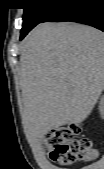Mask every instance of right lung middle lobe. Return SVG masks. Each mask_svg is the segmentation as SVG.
I'll return each instance as SVG.
<instances>
[{"instance_id": "dd1d6c3e", "label": "right lung middle lobe", "mask_w": 104, "mask_h": 169, "mask_svg": "<svg viewBox=\"0 0 104 169\" xmlns=\"http://www.w3.org/2000/svg\"><path fill=\"white\" fill-rule=\"evenodd\" d=\"M58 4L55 0H24L23 25L21 37L24 36L52 12Z\"/></svg>"}]
</instances>
